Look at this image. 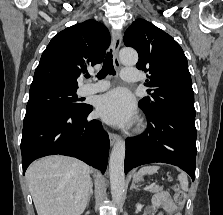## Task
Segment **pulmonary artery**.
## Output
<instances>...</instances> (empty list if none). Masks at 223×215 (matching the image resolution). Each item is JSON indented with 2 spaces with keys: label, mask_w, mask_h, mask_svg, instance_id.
Wrapping results in <instances>:
<instances>
[{
  "label": "pulmonary artery",
  "mask_w": 223,
  "mask_h": 215,
  "mask_svg": "<svg viewBox=\"0 0 223 215\" xmlns=\"http://www.w3.org/2000/svg\"><path fill=\"white\" fill-rule=\"evenodd\" d=\"M122 78L127 83H136L139 79V74H142V69H132L131 65H126L125 69H121ZM110 87V82L106 80H94L93 83L85 85L82 90L84 95L94 94L104 91Z\"/></svg>",
  "instance_id": "obj_1"
}]
</instances>
